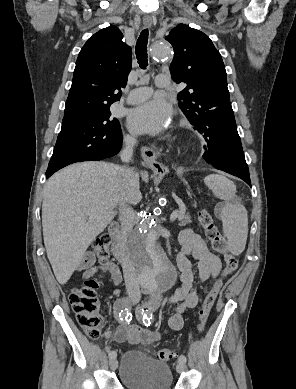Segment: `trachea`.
<instances>
[{"label": "trachea", "mask_w": 296, "mask_h": 389, "mask_svg": "<svg viewBox=\"0 0 296 389\" xmlns=\"http://www.w3.org/2000/svg\"><path fill=\"white\" fill-rule=\"evenodd\" d=\"M148 29H145L141 32L139 38L137 39V43L135 46V53L140 68L146 69L148 66V56H147V44H148Z\"/></svg>", "instance_id": "obj_1"}]
</instances>
